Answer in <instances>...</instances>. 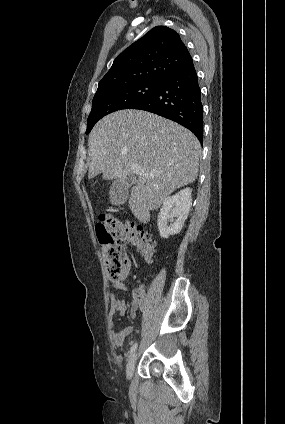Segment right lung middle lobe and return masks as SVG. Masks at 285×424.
Returning <instances> with one entry per match:
<instances>
[{
  "mask_svg": "<svg viewBox=\"0 0 285 424\" xmlns=\"http://www.w3.org/2000/svg\"><path fill=\"white\" fill-rule=\"evenodd\" d=\"M162 84V81H139L97 91L92 101L86 134L104 116L131 108L134 104L153 95Z\"/></svg>",
  "mask_w": 285,
  "mask_h": 424,
  "instance_id": "1",
  "label": "right lung middle lobe"
}]
</instances>
